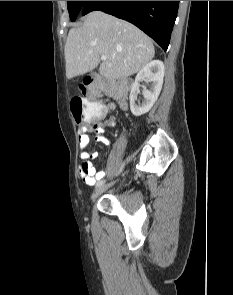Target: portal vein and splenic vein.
Masks as SVG:
<instances>
[{"mask_svg": "<svg viewBox=\"0 0 233 295\" xmlns=\"http://www.w3.org/2000/svg\"><path fill=\"white\" fill-rule=\"evenodd\" d=\"M101 60H103V61L107 60V56L101 55Z\"/></svg>", "mask_w": 233, "mask_h": 295, "instance_id": "18ae733b", "label": "portal vein and splenic vein"}]
</instances>
